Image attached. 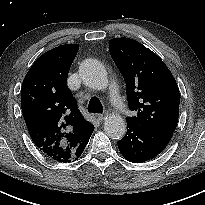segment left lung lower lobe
I'll list each match as a JSON object with an SVG mask.
<instances>
[{
  "label": "left lung lower lobe",
  "mask_w": 205,
  "mask_h": 205,
  "mask_svg": "<svg viewBox=\"0 0 205 205\" xmlns=\"http://www.w3.org/2000/svg\"><path fill=\"white\" fill-rule=\"evenodd\" d=\"M172 134L127 122L126 135L118 141V148L126 160L145 162L165 149Z\"/></svg>",
  "instance_id": "0a47b994"
}]
</instances>
